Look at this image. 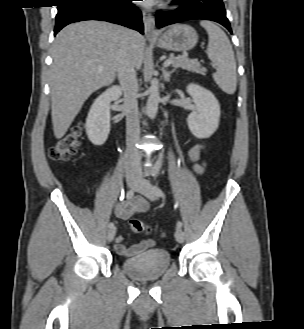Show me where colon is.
<instances>
[{"instance_id": "1", "label": "colon", "mask_w": 304, "mask_h": 329, "mask_svg": "<svg viewBox=\"0 0 304 329\" xmlns=\"http://www.w3.org/2000/svg\"><path fill=\"white\" fill-rule=\"evenodd\" d=\"M83 134V125L73 126L56 144L50 149L49 156L53 161H68L78 150ZM130 228L135 233L150 234L152 229L139 219L130 220Z\"/></svg>"}]
</instances>
